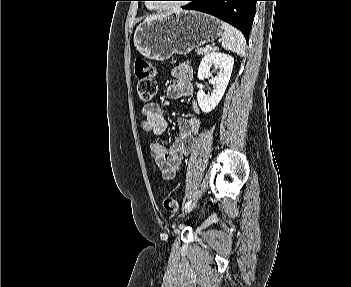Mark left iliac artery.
I'll return each mask as SVG.
<instances>
[{"instance_id": "left-iliac-artery-1", "label": "left iliac artery", "mask_w": 351, "mask_h": 287, "mask_svg": "<svg viewBox=\"0 0 351 287\" xmlns=\"http://www.w3.org/2000/svg\"><path fill=\"white\" fill-rule=\"evenodd\" d=\"M190 204H191V200L190 201H188V202H186L184 205H183V210L184 209H186L187 207H189L190 206Z\"/></svg>"}]
</instances>
